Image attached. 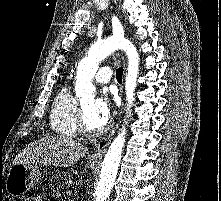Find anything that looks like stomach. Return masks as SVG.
<instances>
[{
    "instance_id": "obj_1",
    "label": "stomach",
    "mask_w": 221,
    "mask_h": 201,
    "mask_svg": "<svg viewBox=\"0 0 221 201\" xmlns=\"http://www.w3.org/2000/svg\"><path fill=\"white\" fill-rule=\"evenodd\" d=\"M95 163L88 162L87 168L93 169ZM41 180L40 170L30 164L18 162L9 169L6 179V190L12 196H20L29 191L33 186Z\"/></svg>"
}]
</instances>
